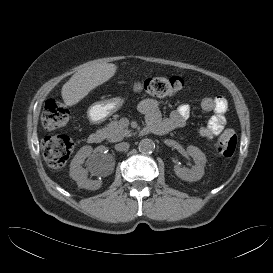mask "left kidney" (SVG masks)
Segmentation results:
<instances>
[{
	"label": "left kidney",
	"mask_w": 273,
	"mask_h": 273,
	"mask_svg": "<svg viewBox=\"0 0 273 273\" xmlns=\"http://www.w3.org/2000/svg\"><path fill=\"white\" fill-rule=\"evenodd\" d=\"M187 153L194 159L195 165L192 169L184 168L179 165L174 166L175 174L184 181H197L204 176V167L206 164L205 154L195 146H188Z\"/></svg>",
	"instance_id": "1"
}]
</instances>
